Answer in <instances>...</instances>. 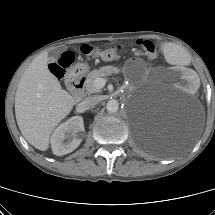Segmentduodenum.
Segmentation results:
<instances>
[{"instance_id":"duodenum-1","label":"duodenum","mask_w":215,"mask_h":215,"mask_svg":"<svg viewBox=\"0 0 215 215\" xmlns=\"http://www.w3.org/2000/svg\"><path fill=\"white\" fill-rule=\"evenodd\" d=\"M67 86L73 94L74 100L79 101L83 96L84 74L79 69H72L66 76Z\"/></svg>"}]
</instances>
